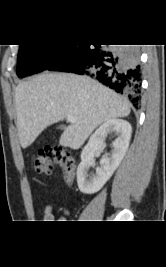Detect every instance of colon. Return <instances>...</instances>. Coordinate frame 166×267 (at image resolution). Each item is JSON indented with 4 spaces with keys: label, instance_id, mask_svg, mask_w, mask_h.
<instances>
[{
    "label": "colon",
    "instance_id": "1",
    "mask_svg": "<svg viewBox=\"0 0 166 267\" xmlns=\"http://www.w3.org/2000/svg\"><path fill=\"white\" fill-rule=\"evenodd\" d=\"M62 167L66 181H73L75 175V160L71 154L61 148H43L34 162L35 171L39 175H49L54 165Z\"/></svg>",
    "mask_w": 166,
    "mask_h": 267
}]
</instances>
